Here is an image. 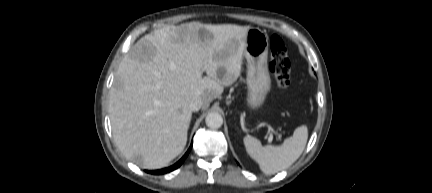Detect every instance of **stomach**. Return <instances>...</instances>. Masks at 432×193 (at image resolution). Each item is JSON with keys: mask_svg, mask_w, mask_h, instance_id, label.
<instances>
[{"mask_svg": "<svg viewBox=\"0 0 432 193\" xmlns=\"http://www.w3.org/2000/svg\"><path fill=\"white\" fill-rule=\"evenodd\" d=\"M268 35L259 28H250L246 34L244 56L247 60V88L246 104L251 109L262 106L271 88L268 71Z\"/></svg>", "mask_w": 432, "mask_h": 193, "instance_id": "obj_1", "label": "stomach"}]
</instances>
